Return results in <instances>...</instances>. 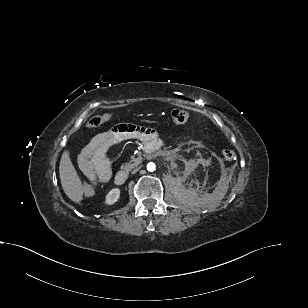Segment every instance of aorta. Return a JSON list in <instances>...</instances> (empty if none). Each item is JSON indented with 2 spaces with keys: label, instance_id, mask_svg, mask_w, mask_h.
Instances as JSON below:
<instances>
[{
  "label": "aorta",
  "instance_id": "762f6f07",
  "mask_svg": "<svg viewBox=\"0 0 308 308\" xmlns=\"http://www.w3.org/2000/svg\"><path fill=\"white\" fill-rule=\"evenodd\" d=\"M147 170L148 171H154L155 170V164L154 163H148L147 164Z\"/></svg>",
  "mask_w": 308,
  "mask_h": 308
}]
</instances>
